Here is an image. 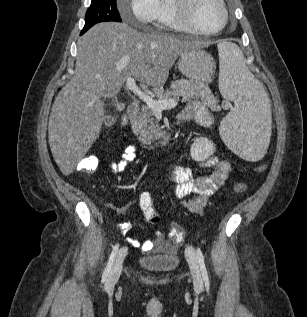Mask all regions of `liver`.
I'll return each mask as SVG.
<instances>
[{"label": "liver", "instance_id": "obj_1", "mask_svg": "<svg viewBox=\"0 0 307 317\" xmlns=\"http://www.w3.org/2000/svg\"><path fill=\"white\" fill-rule=\"evenodd\" d=\"M208 46L125 23H100L87 31L77 43L75 74L55 98L49 118V145L61 172L71 174L96 140L105 120L102 98L117 95L130 77L162 87L179 55Z\"/></svg>", "mask_w": 307, "mask_h": 317}]
</instances>
